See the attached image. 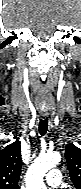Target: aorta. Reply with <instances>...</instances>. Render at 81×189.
<instances>
[{"label":"aorta","mask_w":81,"mask_h":189,"mask_svg":"<svg viewBox=\"0 0 81 189\" xmlns=\"http://www.w3.org/2000/svg\"><path fill=\"white\" fill-rule=\"evenodd\" d=\"M60 160L61 155L57 152L40 154L26 172V189H47L43 178Z\"/></svg>","instance_id":"1"}]
</instances>
